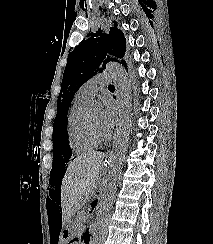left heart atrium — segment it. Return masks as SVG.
Instances as JSON below:
<instances>
[{
    "instance_id": "1",
    "label": "left heart atrium",
    "mask_w": 213,
    "mask_h": 244,
    "mask_svg": "<svg viewBox=\"0 0 213 244\" xmlns=\"http://www.w3.org/2000/svg\"><path fill=\"white\" fill-rule=\"evenodd\" d=\"M116 119V108L112 101L107 100L104 103V109L101 116V124L107 133L112 131Z\"/></svg>"
}]
</instances>
